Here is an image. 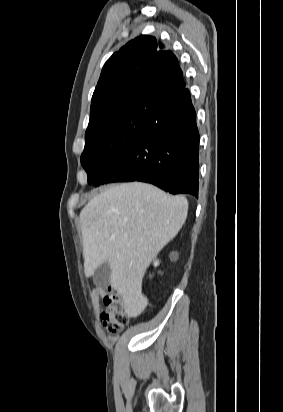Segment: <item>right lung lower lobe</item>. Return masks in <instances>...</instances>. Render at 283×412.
<instances>
[{
  "instance_id": "1",
  "label": "right lung lower lobe",
  "mask_w": 283,
  "mask_h": 412,
  "mask_svg": "<svg viewBox=\"0 0 283 412\" xmlns=\"http://www.w3.org/2000/svg\"><path fill=\"white\" fill-rule=\"evenodd\" d=\"M199 132L190 92L184 88L93 185L142 181L172 194L198 197Z\"/></svg>"
}]
</instances>
